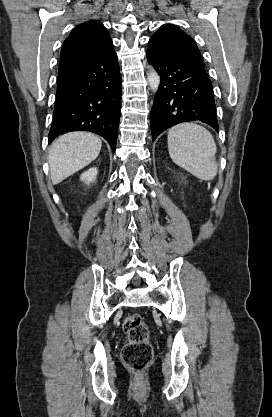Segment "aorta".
Instances as JSON below:
<instances>
[{"label":"aorta","instance_id":"obj_1","mask_svg":"<svg viewBox=\"0 0 272 417\" xmlns=\"http://www.w3.org/2000/svg\"><path fill=\"white\" fill-rule=\"evenodd\" d=\"M148 82L151 90L156 93L160 86V76L152 66L148 67Z\"/></svg>","mask_w":272,"mask_h":417}]
</instances>
